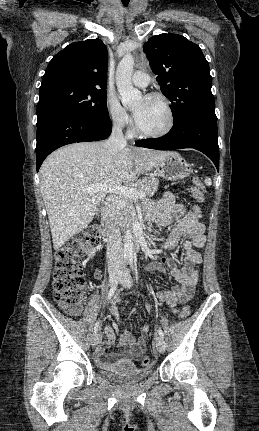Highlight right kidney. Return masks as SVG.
<instances>
[{"instance_id":"ca27d5eb","label":"right kidney","mask_w":259,"mask_h":431,"mask_svg":"<svg viewBox=\"0 0 259 431\" xmlns=\"http://www.w3.org/2000/svg\"><path fill=\"white\" fill-rule=\"evenodd\" d=\"M88 252H89L88 253L89 256H94V254H95L96 251H95V249L92 248L91 251L88 250Z\"/></svg>"}]
</instances>
